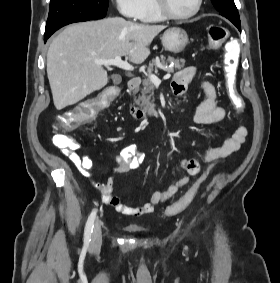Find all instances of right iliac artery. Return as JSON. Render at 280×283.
<instances>
[{
	"label": "right iliac artery",
	"instance_id": "1",
	"mask_svg": "<svg viewBox=\"0 0 280 283\" xmlns=\"http://www.w3.org/2000/svg\"><path fill=\"white\" fill-rule=\"evenodd\" d=\"M96 218V210H93L88 217L85 231H84V241L85 243H89L91 241V234L93 232V227H94V221Z\"/></svg>",
	"mask_w": 280,
	"mask_h": 283
}]
</instances>
